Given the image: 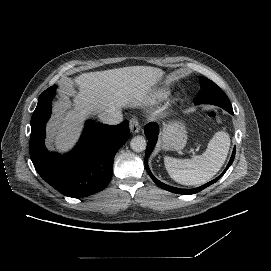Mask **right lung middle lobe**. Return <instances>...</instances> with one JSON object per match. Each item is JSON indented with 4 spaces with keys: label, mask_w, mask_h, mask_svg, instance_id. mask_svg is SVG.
<instances>
[{
    "label": "right lung middle lobe",
    "mask_w": 271,
    "mask_h": 271,
    "mask_svg": "<svg viewBox=\"0 0 271 271\" xmlns=\"http://www.w3.org/2000/svg\"><path fill=\"white\" fill-rule=\"evenodd\" d=\"M56 87H57V86H56V85H54V86H51V87H50V89H51V90H55V89H56Z\"/></svg>",
    "instance_id": "dd1d6c3e"
}]
</instances>
